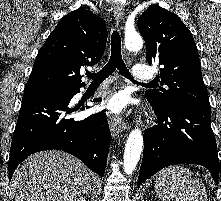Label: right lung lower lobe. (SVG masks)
<instances>
[{"label": "right lung lower lobe", "instance_id": "98d812e1", "mask_svg": "<svg viewBox=\"0 0 221 201\" xmlns=\"http://www.w3.org/2000/svg\"><path fill=\"white\" fill-rule=\"evenodd\" d=\"M79 89L24 92L10 150L9 180L29 155L48 149L70 153L101 177L104 175L111 142L108 121L103 111L83 120L71 117L79 107H70L69 102Z\"/></svg>", "mask_w": 221, "mask_h": 201}]
</instances>
